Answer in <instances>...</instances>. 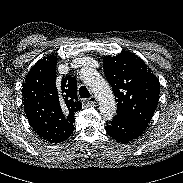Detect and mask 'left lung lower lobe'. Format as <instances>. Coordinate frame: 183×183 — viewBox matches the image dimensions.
Segmentation results:
<instances>
[{"mask_svg":"<svg viewBox=\"0 0 183 183\" xmlns=\"http://www.w3.org/2000/svg\"><path fill=\"white\" fill-rule=\"evenodd\" d=\"M146 127L147 125L143 123L114 117L113 120L106 125V131L113 139L125 143L139 137Z\"/></svg>","mask_w":183,"mask_h":183,"instance_id":"obj_1","label":"left lung lower lobe"}]
</instances>
